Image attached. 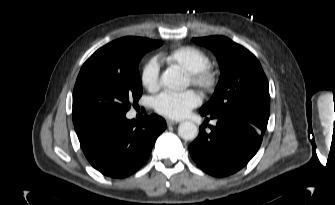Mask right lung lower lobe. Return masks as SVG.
<instances>
[{
  "mask_svg": "<svg viewBox=\"0 0 335 205\" xmlns=\"http://www.w3.org/2000/svg\"><path fill=\"white\" fill-rule=\"evenodd\" d=\"M74 128L91 165L106 176L124 178L146 162L166 122L152 114L136 123L124 114L76 124Z\"/></svg>",
  "mask_w": 335,
  "mask_h": 205,
  "instance_id": "98d812e1",
  "label": "right lung lower lobe"
}]
</instances>
